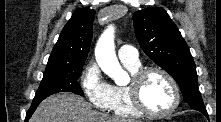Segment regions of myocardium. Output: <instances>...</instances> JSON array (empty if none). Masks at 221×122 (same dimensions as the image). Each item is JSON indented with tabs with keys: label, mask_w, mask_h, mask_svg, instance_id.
Returning a JSON list of instances; mask_svg holds the SVG:
<instances>
[{
	"label": "myocardium",
	"mask_w": 221,
	"mask_h": 122,
	"mask_svg": "<svg viewBox=\"0 0 221 122\" xmlns=\"http://www.w3.org/2000/svg\"><path fill=\"white\" fill-rule=\"evenodd\" d=\"M152 73H158L162 75L169 82L173 91V104L168 110L163 112L152 111L146 106V104L142 99L141 95L142 84L145 78ZM127 88L132 104L143 115L154 118H163L173 114L179 107L181 97H180V90L178 84L176 80L173 78V76L162 68L147 67L139 69L137 72H135L132 75L130 84L127 86Z\"/></svg>",
	"instance_id": "myocardium-1"
}]
</instances>
